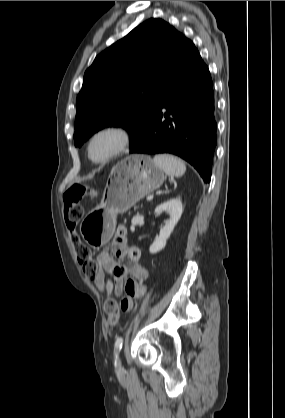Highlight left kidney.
Here are the masks:
<instances>
[{"label":"left kidney","instance_id":"5707ae66","mask_svg":"<svg viewBox=\"0 0 285 418\" xmlns=\"http://www.w3.org/2000/svg\"><path fill=\"white\" fill-rule=\"evenodd\" d=\"M166 211L169 213L170 218L166 221L165 225L160 229L159 235L155 238L154 242L149 248V252L155 254L166 246L167 240L170 237L175 225L181 218L183 207L179 198L170 199L155 209V214L160 215Z\"/></svg>","mask_w":285,"mask_h":418}]
</instances>
